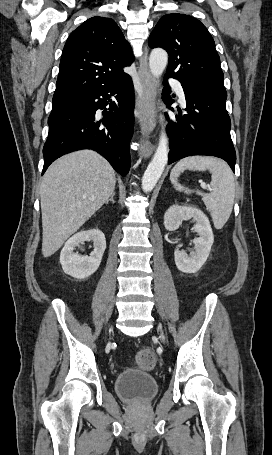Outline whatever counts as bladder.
<instances>
[{
	"label": "bladder",
	"mask_w": 272,
	"mask_h": 455,
	"mask_svg": "<svg viewBox=\"0 0 272 455\" xmlns=\"http://www.w3.org/2000/svg\"><path fill=\"white\" fill-rule=\"evenodd\" d=\"M116 394L130 403H147L158 393L155 378L144 371L128 369L120 372L114 381Z\"/></svg>",
	"instance_id": "31cf9c89"
}]
</instances>
